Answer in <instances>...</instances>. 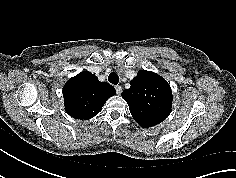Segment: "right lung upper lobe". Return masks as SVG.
Listing matches in <instances>:
<instances>
[{"instance_id": "cb5924a9", "label": "right lung upper lobe", "mask_w": 236, "mask_h": 178, "mask_svg": "<svg viewBox=\"0 0 236 178\" xmlns=\"http://www.w3.org/2000/svg\"><path fill=\"white\" fill-rule=\"evenodd\" d=\"M66 112L75 119H91L102 109L107 99L115 94V89L106 82L83 71L69 79L63 88Z\"/></svg>"}]
</instances>
